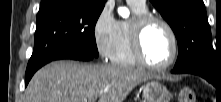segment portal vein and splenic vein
Segmentation results:
<instances>
[{
    "instance_id": "obj_1",
    "label": "portal vein and splenic vein",
    "mask_w": 221,
    "mask_h": 102,
    "mask_svg": "<svg viewBox=\"0 0 221 102\" xmlns=\"http://www.w3.org/2000/svg\"><path fill=\"white\" fill-rule=\"evenodd\" d=\"M95 99H96V98H92L90 101H91V102H94V101H95Z\"/></svg>"
}]
</instances>
